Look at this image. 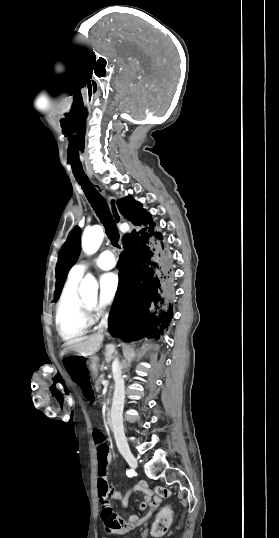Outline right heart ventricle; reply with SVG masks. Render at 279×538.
Returning a JSON list of instances; mask_svg holds the SVG:
<instances>
[{
    "label": "right heart ventricle",
    "instance_id": "e07e8e85",
    "mask_svg": "<svg viewBox=\"0 0 279 538\" xmlns=\"http://www.w3.org/2000/svg\"><path fill=\"white\" fill-rule=\"evenodd\" d=\"M89 235L103 237L105 235L104 224L100 221L96 226L85 229L83 232V243ZM83 276L84 274L74 276L69 273L56 305V328L61 338L65 341H72L81 337L89 330L92 324L90 321L79 319L76 315L84 298V295L80 292Z\"/></svg>",
    "mask_w": 279,
    "mask_h": 538
}]
</instances>
